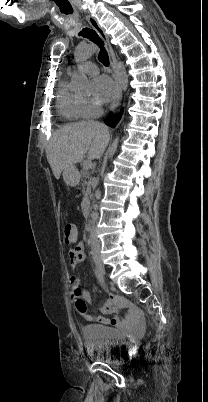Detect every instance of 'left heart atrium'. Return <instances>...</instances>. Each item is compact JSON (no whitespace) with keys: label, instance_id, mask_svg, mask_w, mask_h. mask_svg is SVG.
Returning a JSON list of instances; mask_svg holds the SVG:
<instances>
[{"label":"left heart atrium","instance_id":"1","mask_svg":"<svg viewBox=\"0 0 208 402\" xmlns=\"http://www.w3.org/2000/svg\"><path fill=\"white\" fill-rule=\"evenodd\" d=\"M94 89L99 94V99L109 102L116 95V87L113 81L106 75H99L93 83Z\"/></svg>","mask_w":208,"mask_h":402}]
</instances>
